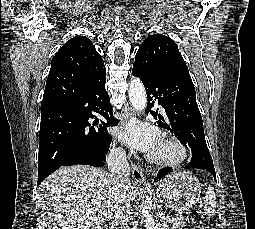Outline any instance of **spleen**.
<instances>
[{"instance_id": "spleen-1", "label": "spleen", "mask_w": 255, "mask_h": 229, "mask_svg": "<svg viewBox=\"0 0 255 229\" xmlns=\"http://www.w3.org/2000/svg\"><path fill=\"white\" fill-rule=\"evenodd\" d=\"M215 208H216V197L214 188L212 186H209L206 195L204 197V211L205 214L208 216H213L215 214Z\"/></svg>"}]
</instances>
